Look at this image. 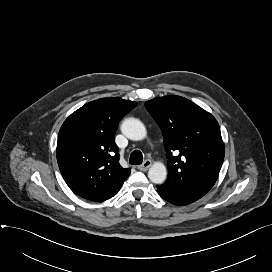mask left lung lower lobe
<instances>
[{
    "mask_svg": "<svg viewBox=\"0 0 272 272\" xmlns=\"http://www.w3.org/2000/svg\"><path fill=\"white\" fill-rule=\"evenodd\" d=\"M159 195L166 201L175 205L193 203L209 192L211 188H202L194 185H185L178 189H171L162 184L157 186Z\"/></svg>",
    "mask_w": 272,
    "mask_h": 272,
    "instance_id": "0a47b994",
    "label": "left lung lower lobe"
}]
</instances>
